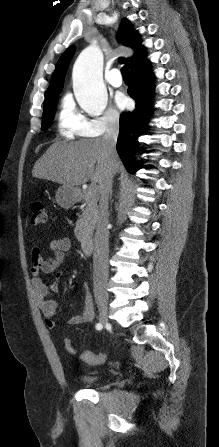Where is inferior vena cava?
<instances>
[{
  "instance_id": "1",
  "label": "inferior vena cava",
  "mask_w": 219,
  "mask_h": 447,
  "mask_svg": "<svg viewBox=\"0 0 219 447\" xmlns=\"http://www.w3.org/2000/svg\"><path fill=\"white\" fill-rule=\"evenodd\" d=\"M119 134V122L117 119L109 121L103 136L105 153L108 158V172L104 181L99 186V216L96 223L95 248H94V295L99 298L106 294V282L108 279L109 256V231L108 225V199L112 190L113 162L117 155L116 142Z\"/></svg>"
}]
</instances>
